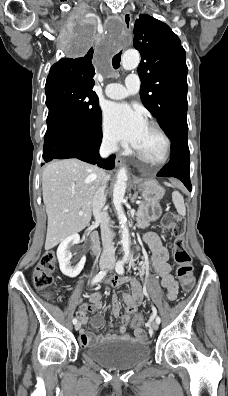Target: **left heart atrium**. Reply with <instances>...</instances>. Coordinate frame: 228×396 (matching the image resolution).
I'll return each mask as SVG.
<instances>
[{"label":"left heart atrium","instance_id":"obj_1","mask_svg":"<svg viewBox=\"0 0 228 396\" xmlns=\"http://www.w3.org/2000/svg\"><path fill=\"white\" fill-rule=\"evenodd\" d=\"M104 124L110 136L136 148L147 124L143 114L127 103H112L104 111Z\"/></svg>","mask_w":228,"mask_h":396}]
</instances>
